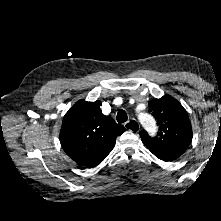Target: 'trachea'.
<instances>
[{"instance_id":"trachea-1","label":"trachea","mask_w":221,"mask_h":221,"mask_svg":"<svg viewBox=\"0 0 221 221\" xmlns=\"http://www.w3.org/2000/svg\"><path fill=\"white\" fill-rule=\"evenodd\" d=\"M128 119L127 113L124 110H119L117 113V122L118 123H124Z\"/></svg>"}]
</instances>
